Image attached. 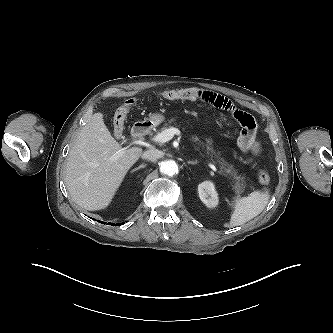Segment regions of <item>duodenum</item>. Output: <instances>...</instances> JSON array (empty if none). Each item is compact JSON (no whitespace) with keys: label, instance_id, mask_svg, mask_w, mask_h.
Instances as JSON below:
<instances>
[{"label":"duodenum","instance_id":"duodenum-1","mask_svg":"<svg viewBox=\"0 0 333 333\" xmlns=\"http://www.w3.org/2000/svg\"><path fill=\"white\" fill-rule=\"evenodd\" d=\"M149 130V125L145 122L136 124L131 131V135L135 138L144 136Z\"/></svg>","mask_w":333,"mask_h":333}]
</instances>
